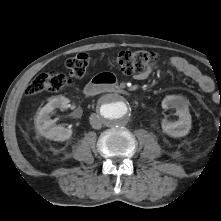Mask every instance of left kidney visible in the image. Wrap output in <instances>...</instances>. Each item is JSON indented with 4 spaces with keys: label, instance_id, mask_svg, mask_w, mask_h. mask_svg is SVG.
<instances>
[{
    "label": "left kidney",
    "instance_id": "5707ae66",
    "mask_svg": "<svg viewBox=\"0 0 221 221\" xmlns=\"http://www.w3.org/2000/svg\"><path fill=\"white\" fill-rule=\"evenodd\" d=\"M161 106L163 109H175L176 114L179 116V119L175 122L163 119L161 124L163 132L174 138L186 136L192 126L189 101L181 95H167L162 100Z\"/></svg>",
    "mask_w": 221,
    "mask_h": 221
}]
</instances>
